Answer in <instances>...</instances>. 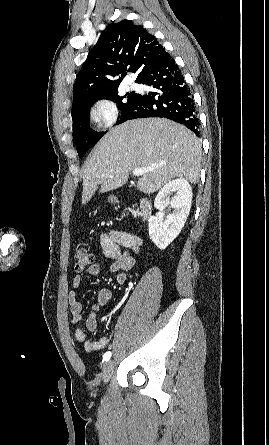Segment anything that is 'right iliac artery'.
<instances>
[{
  "mask_svg": "<svg viewBox=\"0 0 269 445\" xmlns=\"http://www.w3.org/2000/svg\"><path fill=\"white\" fill-rule=\"evenodd\" d=\"M111 358V352L108 351L103 355V360L108 361Z\"/></svg>",
  "mask_w": 269,
  "mask_h": 445,
  "instance_id": "right-iliac-artery-1",
  "label": "right iliac artery"
}]
</instances>
